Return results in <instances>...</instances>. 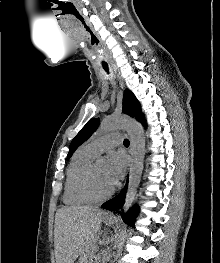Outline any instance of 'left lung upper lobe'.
<instances>
[{"instance_id": "1", "label": "left lung upper lobe", "mask_w": 220, "mask_h": 263, "mask_svg": "<svg viewBox=\"0 0 220 263\" xmlns=\"http://www.w3.org/2000/svg\"><path fill=\"white\" fill-rule=\"evenodd\" d=\"M123 112L131 117H135L138 121L145 124L144 115L141 113L140 104L134 94L128 89L124 91ZM98 126L99 119H92L87 122V124L72 140L67 156L68 159L72 156L74 151L92 135V133L97 129Z\"/></svg>"}]
</instances>
